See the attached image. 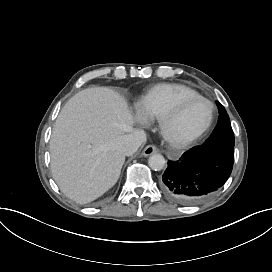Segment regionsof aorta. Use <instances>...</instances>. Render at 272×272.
Returning <instances> with one entry per match:
<instances>
[{
    "instance_id": "1",
    "label": "aorta",
    "mask_w": 272,
    "mask_h": 272,
    "mask_svg": "<svg viewBox=\"0 0 272 272\" xmlns=\"http://www.w3.org/2000/svg\"><path fill=\"white\" fill-rule=\"evenodd\" d=\"M148 164L151 169L155 171H161L165 167V159L161 154H153L148 160Z\"/></svg>"
}]
</instances>
